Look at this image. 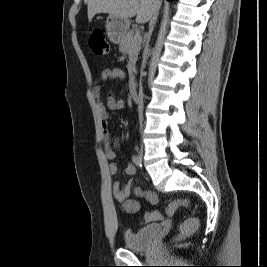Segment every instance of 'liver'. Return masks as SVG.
Segmentation results:
<instances>
[{
	"label": "liver",
	"mask_w": 267,
	"mask_h": 267,
	"mask_svg": "<svg viewBox=\"0 0 267 267\" xmlns=\"http://www.w3.org/2000/svg\"><path fill=\"white\" fill-rule=\"evenodd\" d=\"M85 3L89 21L96 14L108 13L125 19L136 16L137 23L150 21L154 12L161 6V1L154 3V0H85Z\"/></svg>",
	"instance_id": "6515ba94"
}]
</instances>
